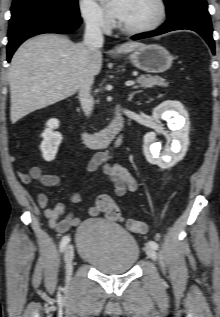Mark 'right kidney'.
I'll use <instances>...</instances> for the list:
<instances>
[{
	"label": "right kidney",
	"instance_id": "right-kidney-1",
	"mask_svg": "<svg viewBox=\"0 0 220 317\" xmlns=\"http://www.w3.org/2000/svg\"><path fill=\"white\" fill-rule=\"evenodd\" d=\"M46 129L42 133L43 141L40 145V150L45 161H52L58 152V147L62 142L61 133L54 131L59 127L57 119H50L46 123Z\"/></svg>",
	"mask_w": 220,
	"mask_h": 317
}]
</instances>
